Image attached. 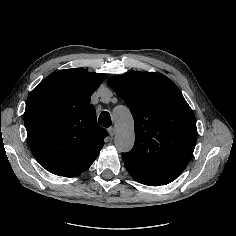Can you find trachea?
<instances>
[{
  "mask_svg": "<svg viewBox=\"0 0 236 236\" xmlns=\"http://www.w3.org/2000/svg\"><path fill=\"white\" fill-rule=\"evenodd\" d=\"M98 122L103 127H110L112 124L110 114L106 111L102 112L99 116Z\"/></svg>",
  "mask_w": 236,
  "mask_h": 236,
  "instance_id": "3493384b",
  "label": "trachea"
}]
</instances>
